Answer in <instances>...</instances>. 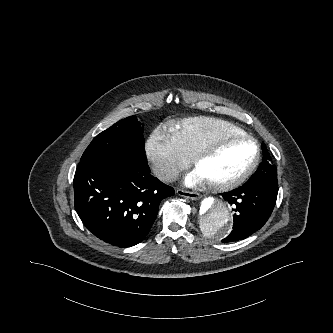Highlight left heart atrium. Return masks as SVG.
<instances>
[{"instance_id": "left-heart-atrium-1", "label": "left heart atrium", "mask_w": 333, "mask_h": 333, "mask_svg": "<svg viewBox=\"0 0 333 333\" xmlns=\"http://www.w3.org/2000/svg\"><path fill=\"white\" fill-rule=\"evenodd\" d=\"M203 177L197 172H192L190 174H188L185 179H184V182L186 185L188 186H193V185H196L198 184L199 182L203 181Z\"/></svg>"}]
</instances>
